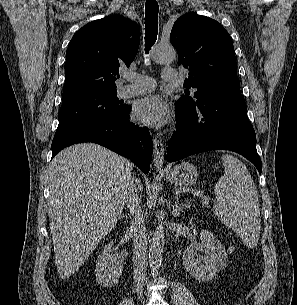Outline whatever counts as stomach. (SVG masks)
Listing matches in <instances>:
<instances>
[{"instance_id":"1","label":"stomach","mask_w":297,"mask_h":305,"mask_svg":"<svg viewBox=\"0 0 297 305\" xmlns=\"http://www.w3.org/2000/svg\"><path fill=\"white\" fill-rule=\"evenodd\" d=\"M166 178L177 186H192L197 182L198 171L193 164L182 162L169 169Z\"/></svg>"}]
</instances>
